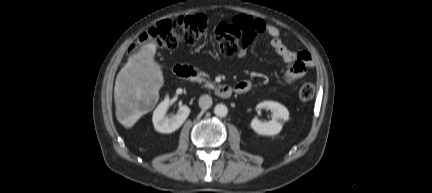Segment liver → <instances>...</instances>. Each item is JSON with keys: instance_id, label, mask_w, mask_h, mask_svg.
<instances>
[{"instance_id": "liver-1", "label": "liver", "mask_w": 432, "mask_h": 193, "mask_svg": "<svg viewBox=\"0 0 432 193\" xmlns=\"http://www.w3.org/2000/svg\"><path fill=\"white\" fill-rule=\"evenodd\" d=\"M156 44L148 43L129 57L116 77L114 101L117 120L131 128L154 108L164 83L163 72L155 61Z\"/></svg>"}]
</instances>
